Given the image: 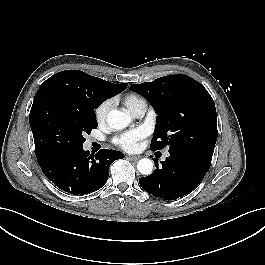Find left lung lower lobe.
I'll return each instance as SVG.
<instances>
[{"instance_id": "obj_1", "label": "left lung lower lobe", "mask_w": 265, "mask_h": 265, "mask_svg": "<svg viewBox=\"0 0 265 265\" xmlns=\"http://www.w3.org/2000/svg\"><path fill=\"white\" fill-rule=\"evenodd\" d=\"M139 179L141 187L159 199L174 200L191 192L208 172L210 165L191 156L170 155L159 168Z\"/></svg>"}]
</instances>
